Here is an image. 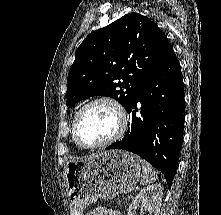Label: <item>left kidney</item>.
Wrapping results in <instances>:
<instances>
[{
	"label": "left kidney",
	"mask_w": 221,
	"mask_h": 215,
	"mask_svg": "<svg viewBox=\"0 0 221 215\" xmlns=\"http://www.w3.org/2000/svg\"><path fill=\"white\" fill-rule=\"evenodd\" d=\"M162 195L163 188L161 184H153L143 188L130 204L127 215H137V210L143 207L149 215H159Z\"/></svg>",
	"instance_id": "obj_1"
}]
</instances>
